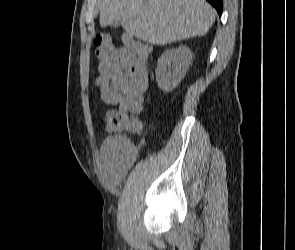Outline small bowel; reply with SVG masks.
<instances>
[{
  "label": "small bowel",
  "mask_w": 295,
  "mask_h": 250,
  "mask_svg": "<svg viewBox=\"0 0 295 250\" xmlns=\"http://www.w3.org/2000/svg\"><path fill=\"white\" fill-rule=\"evenodd\" d=\"M148 51L132 54L126 47L117 48L112 70L96 79L100 99L107 105H129L141 111L148 88ZM128 144L125 138H108L101 148V162L114 181L126 172Z\"/></svg>",
  "instance_id": "1"
}]
</instances>
